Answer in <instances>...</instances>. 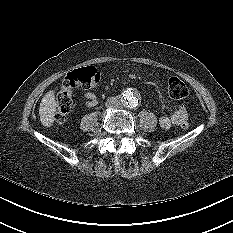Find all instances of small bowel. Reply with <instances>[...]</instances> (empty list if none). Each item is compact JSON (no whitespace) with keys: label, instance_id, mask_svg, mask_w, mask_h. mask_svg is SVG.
<instances>
[{"label":"small bowel","instance_id":"c3829d8e","mask_svg":"<svg viewBox=\"0 0 233 233\" xmlns=\"http://www.w3.org/2000/svg\"><path fill=\"white\" fill-rule=\"evenodd\" d=\"M80 98L88 107H92L97 103L96 96L92 92L81 93ZM187 119L188 111L183 105H180L170 115L161 116L159 118V125L163 129H169L174 125H180Z\"/></svg>","mask_w":233,"mask_h":233}]
</instances>
